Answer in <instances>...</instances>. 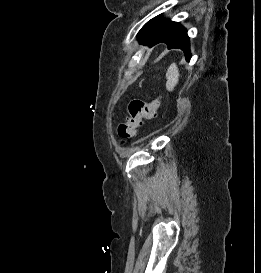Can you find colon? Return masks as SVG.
Wrapping results in <instances>:
<instances>
[{
	"label": "colon",
	"instance_id": "colon-1",
	"mask_svg": "<svg viewBox=\"0 0 261 273\" xmlns=\"http://www.w3.org/2000/svg\"><path fill=\"white\" fill-rule=\"evenodd\" d=\"M161 105V98L157 97L146 102L141 99H133L128 104V115L124 122L117 126V134L124 143L133 138L137 130L143 125L144 120H152L157 116Z\"/></svg>",
	"mask_w": 261,
	"mask_h": 273
}]
</instances>
